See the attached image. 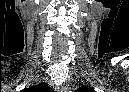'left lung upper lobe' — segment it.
<instances>
[{
	"label": "left lung upper lobe",
	"instance_id": "5c2ea615",
	"mask_svg": "<svg viewBox=\"0 0 129 92\" xmlns=\"http://www.w3.org/2000/svg\"><path fill=\"white\" fill-rule=\"evenodd\" d=\"M77 91H80V92H94V90L88 89L85 86L79 88Z\"/></svg>",
	"mask_w": 129,
	"mask_h": 92
}]
</instances>
